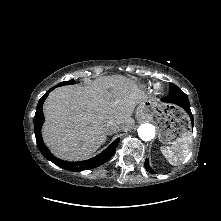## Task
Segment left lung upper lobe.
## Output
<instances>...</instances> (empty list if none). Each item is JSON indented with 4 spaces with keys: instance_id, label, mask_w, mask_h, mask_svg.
Returning <instances> with one entry per match:
<instances>
[{
    "instance_id": "obj_1",
    "label": "left lung upper lobe",
    "mask_w": 221,
    "mask_h": 221,
    "mask_svg": "<svg viewBox=\"0 0 221 221\" xmlns=\"http://www.w3.org/2000/svg\"><path fill=\"white\" fill-rule=\"evenodd\" d=\"M182 90L178 88L175 84H170L169 87V94L175 93V92H181Z\"/></svg>"
}]
</instances>
